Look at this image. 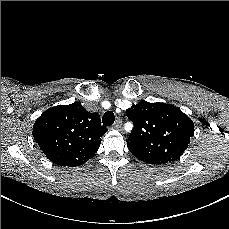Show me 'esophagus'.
Instances as JSON below:
<instances>
[{
	"mask_svg": "<svg viewBox=\"0 0 229 229\" xmlns=\"http://www.w3.org/2000/svg\"><path fill=\"white\" fill-rule=\"evenodd\" d=\"M122 125H123V124H122V120L117 119V120L115 121L113 127H114L115 129L122 130V128H123Z\"/></svg>",
	"mask_w": 229,
	"mask_h": 229,
	"instance_id": "obj_1",
	"label": "esophagus"
}]
</instances>
